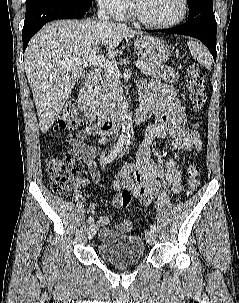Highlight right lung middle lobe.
Returning a JSON list of instances; mask_svg holds the SVG:
<instances>
[{
    "label": "right lung middle lobe",
    "mask_w": 239,
    "mask_h": 303,
    "mask_svg": "<svg viewBox=\"0 0 239 303\" xmlns=\"http://www.w3.org/2000/svg\"><path fill=\"white\" fill-rule=\"evenodd\" d=\"M35 1H40V0H27V4L26 5H29L30 3L35 2Z\"/></svg>",
    "instance_id": "obj_1"
}]
</instances>
